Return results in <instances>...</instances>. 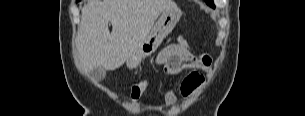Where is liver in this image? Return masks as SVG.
Returning a JSON list of instances; mask_svg holds the SVG:
<instances>
[{"label": "liver", "instance_id": "6515ba94", "mask_svg": "<svg viewBox=\"0 0 305 116\" xmlns=\"http://www.w3.org/2000/svg\"><path fill=\"white\" fill-rule=\"evenodd\" d=\"M176 7L173 0H88L77 34L78 69L89 75L101 66L119 68L140 47L160 14Z\"/></svg>", "mask_w": 305, "mask_h": 116}]
</instances>
